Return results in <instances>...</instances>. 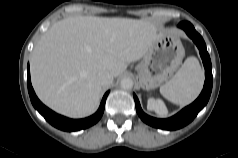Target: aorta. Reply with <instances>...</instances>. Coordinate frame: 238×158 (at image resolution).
I'll return each instance as SVG.
<instances>
[{
	"label": "aorta",
	"instance_id": "762f6f07",
	"mask_svg": "<svg viewBox=\"0 0 238 158\" xmlns=\"http://www.w3.org/2000/svg\"><path fill=\"white\" fill-rule=\"evenodd\" d=\"M120 86L124 90H130L133 87V80L129 77L123 78L121 80Z\"/></svg>",
	"mask_w": 238,
	"mask_h": 158
}]
</instances>
